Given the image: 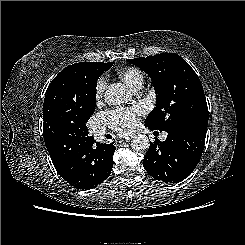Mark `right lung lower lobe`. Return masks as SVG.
Returning <instances> with one entry per match:
<instances>
[{"label":"right lung lower lobe","mask_w":245,"mask_h":245,"mask_svg":"<svg viewBox=\"0 0 245 245\" xmlns=\"http://www.w3.org/2000/svg\"><path fill=\"white\" fill-rule=\"evenodd\" d=\"M45 144L59 175L78 189H92L111 173L114 143L100 144L93 137L78 134Z\"/></svg>","instance_id":"obj_1"}]
</instances>
